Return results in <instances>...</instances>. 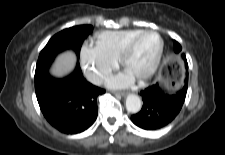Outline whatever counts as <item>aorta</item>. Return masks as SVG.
Wrapping results in <instances>:
<instances>
[{
    "label": "aorta",
    "instance_id": "762f6f07",
    "mask_svg": "<svg viewBox=\"0 0 225 155\" xmlns=\"http://www.w3.org/2000/svg\"><path fill=\"white\" fill-rule=\"evenodd\" d=\"M126 109L128 112L137 113L141 109V99L138 95L130 94L126 98Z\"/></svg>",
    "mask_w": 225,
    "mask_h": 155
}]
</instances>
